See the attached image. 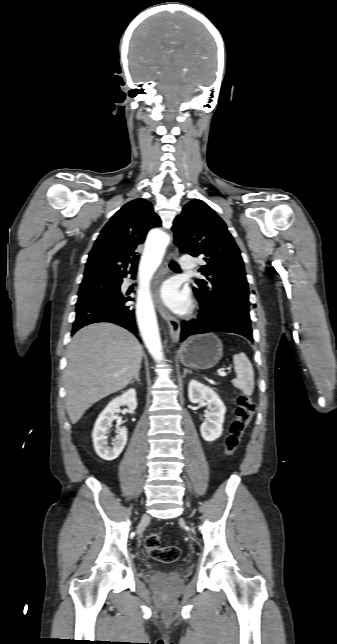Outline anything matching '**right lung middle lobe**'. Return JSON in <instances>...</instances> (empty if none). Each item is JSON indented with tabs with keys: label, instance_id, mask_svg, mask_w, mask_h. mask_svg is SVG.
Returning a JSON list of instances; mask_svg holds the SVG:
<instances>
[{
	"label": "right lung middle lobe",
	"instance_id": "right-lung-middle-lobe-1",
	"mask_svg": "<svg viewBox=\"0 0 337 644\" xmlns=\"http://www.w3.org/2000/svg\"><path fill=\"white\" fill-rule=\"evenodd\" d=\"M119 279H95L82 282L76 305L97 301L119 292Z\"/></svg>",
	"mask_w": 337,
	"mask_h": 644
}]
</instances>
